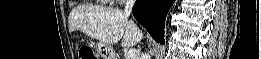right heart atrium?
Segmentation results:
<instances>
[{
  "mask_svg": "<svg viewBox=\"0 0 261 59\" xmlns=\"http://www.w3.org/2000/svg\"><path fill=\"white\" fill-rule=\"evenodd\" d=\"M113 1L116 2V3H123L125 0H113Z\"/></svg>",
  "mask_w": 261,
  "mask_h": 59,
  "instance_id": "right-heart-atrium-1",
  "label": "right heart atrium"
}]
</instances>
